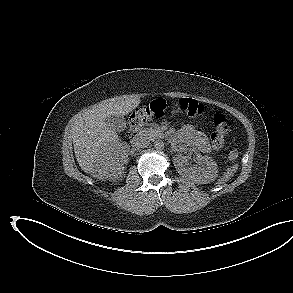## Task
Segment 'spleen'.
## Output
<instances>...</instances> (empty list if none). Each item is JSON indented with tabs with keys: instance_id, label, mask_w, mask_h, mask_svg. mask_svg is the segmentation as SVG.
Instances as JSON below:
<instances>
[{
	"instance_id": "3e777b00",
	"label": "spleen",
	"mask_w": 293,
	"mask_h": 293,
	"mask_svg": "<svg viewBox=\"0 0 293 293\" xmlns=\"http://www.w3.org/2000/svg\"><path fill=\"white\" fill-rule=\"evenodd\" d=\"M238 169V165H233L230 168H227L226 172H224L223 176L218 180V185L227 182L231 177H233L234 173Z\"/></svg>"
}]
</instances>
